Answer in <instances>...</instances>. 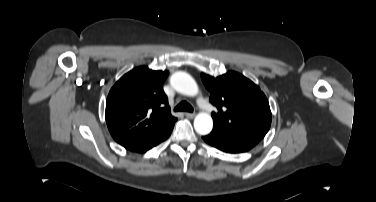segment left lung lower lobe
Listing matches in <instances>:
<instances>
[{
	"label": "left lung lower lobe",
	"mask_w": 376,
	"mask_h": 202,
	"mask_svg": "<svg viewBox=\"0 0 376 202\" xmlns=\"http://www.w3.org/2000/svg\"><path fill=\"white\" fill-rule=\"evenodd\" d=\"M203 139L211 146L227 153L246 152L260 141L219 125H214L212 132Z\"/></svg>",
	"instance_id": "0a47b994"
}]
</instances>
